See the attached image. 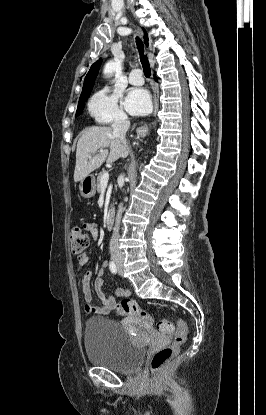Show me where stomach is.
I'll list each match as a JSON object with an SVG mask.
<instances>
[{"mask_svg": "<svg viewBox=\"0 0 266 415\" xmlns=\"http://www.w3.org/2000/svg\"><path fill=\"white\" fill-rule=\"evenodd\" d=\"M80 193L81 196L84 198H91L95 195L96 192V184L95 178L93 175H87L85 178L81 180L80 186Z\"/></svg>", "mask_w": 266, "mask_h": 415, "instance_id": "obj_1", "label": "stomach"}]
</instances>
